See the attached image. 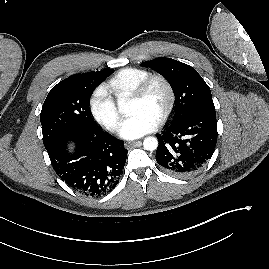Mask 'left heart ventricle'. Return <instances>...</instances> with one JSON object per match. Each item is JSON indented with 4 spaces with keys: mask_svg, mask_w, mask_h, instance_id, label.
Returning a JSON list of instances; mask_svg holds the SVG:
<instances>
[{
    "mask_svg": "<svg viewBox=\"0 0 269 269\" xmlns=\"http://www.w3.org/2000/svg\"><path fill=\"white\" fill-rule=\"evenodd\" d=\"M167 102V93L160 83L152 85L145 98L141 100H131L129 114L143 112L154 118L156 121L161 115Z\"/></svg>",
    "mask_w": 269,
    "mask_h": 269,
    "instance_id": "b2bd125f",
    "label": "left heart ventricle"
}]
</instances>
